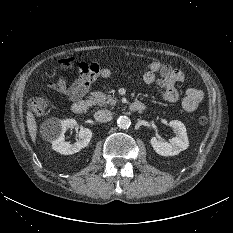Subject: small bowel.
<instances>
[{"instance_id":"obj_1","label":"small bowel","mask_w":233,"mask_h":233,"mask_svg":"<svg viewBox=\"0 0 233 233\" xmlns=\"http://www.w3.org/2000/svg\"><path fill=\"white\" fill-rule=\"evenodd\" d=\"M78 70V77L71 84H68L63 77H58L56 81L50 82L49 88L65 95L70 100H75L87 94L91 84L97 78H107L111 75L109 68L101 67L97 63L82 62L79 64ZM143 79L148 86L155 83L159 85L165 101H178L179 93L175 85L184 80V74L181 70L154 60L148 63ZM202 100L203 92L201 90L188 88L182 99L183 109L187 112H194Z\"/></svg>"}]
</instances>
